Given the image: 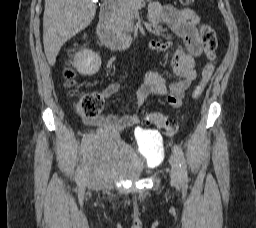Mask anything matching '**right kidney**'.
I'll return each instance as SVG.
<instances>
[{
	"label": "right kidney",
	"instance_id": "ca27d5eb",
	"mask_svg": "<svg viewBox=\"0 0 256 228\" xmlns=\"http://www.w3.org/2000/svg\"><path fill=\"white\" fill-rule=\"evenodd\" d=\"M73 65L81 75L92 76L99 71L101 58L92 50L83 49L75 54Z\"/></svg>",
	"mask_w": 256,
	"mask_h": 228
}]
</instances>
